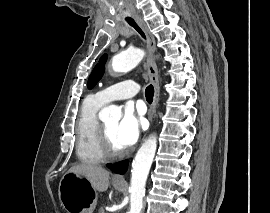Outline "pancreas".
Masks as SVG:
<instances>
[{
    "label": "pancreas",
    "instance_id": "cf45deb5",
    "mask_svg": "<svg viewBox=\"0 0 270 213\" xmlns=\"http://www.w3.org/2000/svg\"><path fill=\"white\" fill-rule=\"evenodd\" d=\"M99 213H106L104 207H101V208L99 209Z\"/></svg>",
    "mask_w": 270,
    "mask_h": 213
}]
</instances>
